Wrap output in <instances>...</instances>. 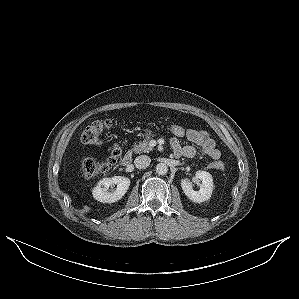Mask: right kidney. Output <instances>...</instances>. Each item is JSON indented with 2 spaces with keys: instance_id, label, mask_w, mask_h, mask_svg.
Wrapping results in <instances>:
<instances>
[{
  "instance_id": "obj_1",
  "label": "right kidney",
  "mask_w": 299,
  "mask_h": 299,
  "mask_svg": "<svg viewBox=\"0 0 299 299\" xmlns=\"http://www.w3.org/2000/svg\"><path fill=\"white\" fill-rule=\"evenodd\" d=\"M112 185L117 187L109 192L108 189ZM130 186V179L123 176H115L112 178H103L93 189V197L103 203H114L120 200L127 192Z\"/></svg>"
}]
</instances>
